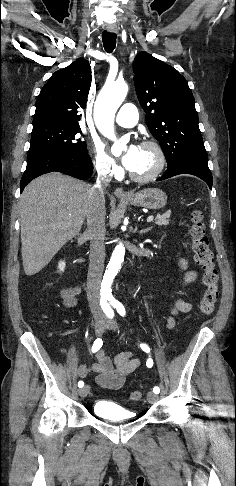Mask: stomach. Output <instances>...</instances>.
I'll return each mask as SVG.
<instances>
[{
  "label": "stomach",
  "mask_w": 236,
  "mask_h": 486,
  "mask_svg": "<svg viewBox=\"0 0 236 486\" xmlns=\"http://www.w3.org/2000/svg\"><path fill=\"white\" fill-rule=\"evenodd\" d=\"M125 201L134 206L145 207L148 209H161L167 203L166 194L158 188H146L132 194Z\"/></svg>",
  "instance_id": "0dacf381"
}]
</instances>
